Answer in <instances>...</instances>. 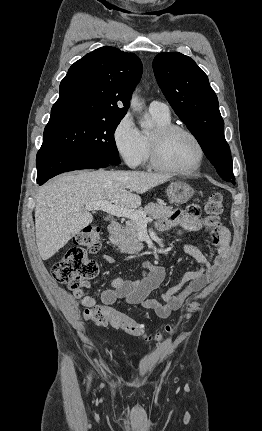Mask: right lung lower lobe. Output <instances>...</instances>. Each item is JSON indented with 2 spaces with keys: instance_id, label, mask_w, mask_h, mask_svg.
Returning a JSON list of instances; mask_svg holds the SVG:
<instances>
[{
  "instance_id": "98d812e1",
  "label": "right lung lower lobe",
  "mask_w": 262,
  "mask_h": 431,
  "mask_svg": "<svg viewBox=\"0 0 262 431\" xmlns=\"http://www.w3.org/2000/svg\"><path fill=\"white\" fill-rule=\"evenodd\" d=\"M106 161L79 152L41 148L37 153V183L44 184L50 178L67 171L105 168Z\"/></svg>"
}]
</instances>
